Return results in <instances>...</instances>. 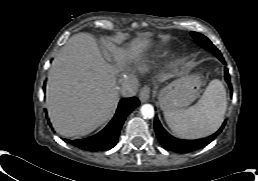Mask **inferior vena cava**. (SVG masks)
<instances>
[{"label": "inferior vena cava", "mask_w": 258, "mask_h": 181, "mask_svg": "<svg viewBox=\"0 0 258 181\" xmlns=\"http://www.w3.org/2000/svg\"><path fill=\"white\" fill-rule=\"evenodd\" d=\"M139 83L133 76H126L119 78V92L124 97L135 96L138 92Z\"/></svg>", "instance_id": "602c4592"}]
</instances>
